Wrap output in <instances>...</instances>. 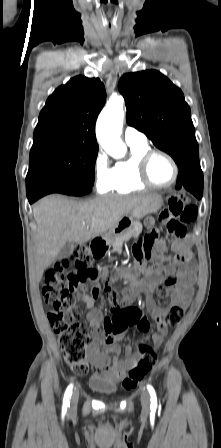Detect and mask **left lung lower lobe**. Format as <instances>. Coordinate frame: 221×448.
<instances>
[{
    "label": "left lung lower lobe",
    "instance_id": "1",
    "mask_svg": "<svg viewBox=\"0 0 221 448\" xmlns=\"http://www.w3.org/2000/svg\"><path fill=\"white\" fill-rule=\"evenodd\" d=\"M185 188L198 199L203 195V173L200 167H189L179 171L176 189Z\"/></svg>",
    "mask_w": 221,
    "mask_h": 448
}]
</instances>
